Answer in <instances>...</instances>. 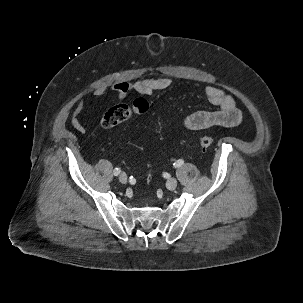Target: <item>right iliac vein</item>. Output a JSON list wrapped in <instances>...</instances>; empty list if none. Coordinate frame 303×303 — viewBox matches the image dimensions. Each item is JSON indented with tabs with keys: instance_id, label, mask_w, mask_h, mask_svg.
Returning <instances> with one entry per match:
<instances>
[{
	"instance_id": "obj_1",
	"label": "right iliac vein",
	"mask_w": 303,
	"mask_h": 303,
	"mask_svg": "<svg viewBox=\"0 0 303 303\" xmlns=\"http://www.w3.org/2000/svg\"><path fill=\"white\" fill-rule=\"evenodd\" d=\"M119 181H120L121 183H123V184H125V183L127 182V175H126L124 172H122V173L120 174V176H119Z\"/></svg>"
}]
</instances>
